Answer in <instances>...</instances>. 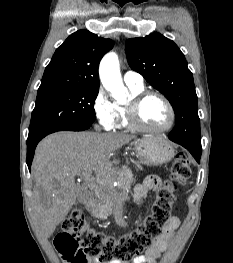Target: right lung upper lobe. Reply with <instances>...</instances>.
Listing matches in <instances>:
<instances>
[{
	"label": "right lung upper lobe",
	"instance_id": "right-lung-upper-lobe-1",
	"mask_svg": "<svg viewBox=\"0 0 233 263\" xmlns=\"http://www.w3.org/2000/svg\"><path fill=\"white\" fill-rule=\"evenodd\" d=\"M113 41L87 31L71 34L45 69L37 95L73 88H99L98 66Z\"/></svg>",
	"mask_w": 233,
	"mask_h": 263
}]
</instances>
